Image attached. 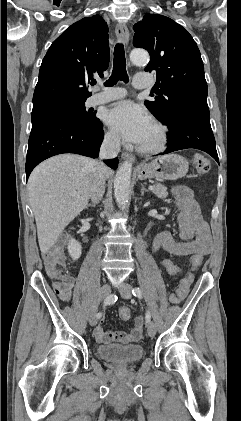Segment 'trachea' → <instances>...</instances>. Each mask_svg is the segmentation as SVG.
Masks as SVG:
<instances>
[{
    "mask_svg": "<svg viewBox=\"0 0 241 421\" xmlns=\"http://www.w3.org/2000/svg\"><path fill=\"white\" fill-rule=\"evenodd\" d=\"M119 80L124 81L125 83L128 82L124 45L121 43L116 44L115 46L112 75L104 85L110 87L115 85ZM95 83L96 82L93 84Z\"/></svg>",
    "mask_w": 241,
    "mask_h": 421,
    "instance_id": "1",
    "label": "trachea"
}]
</instances>
